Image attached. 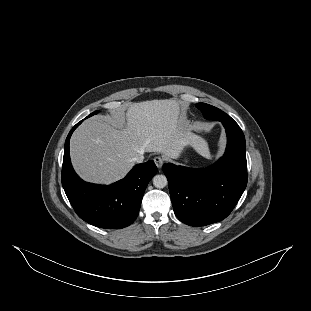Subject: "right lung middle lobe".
I'll return each mask as SVG.
<instances>
[{
    "label": "right lung middle lobe",
    "mask_w": 311,
    "mask_h": 311,
    "mask_svg": "<svg viewBox=\"0 0 311 311\" xmlns=\"http://www.w3.org/2000/svg\"><path fill=\"white\" fill-rule=\"evenodd\" d=\"M98 113V111H95V112H93V113H91L88 117H90V116H92V115H94V114H97ZM87 117V118H88Z\"/></svg>",
    "instance_id": "1"
}]
</instances>
